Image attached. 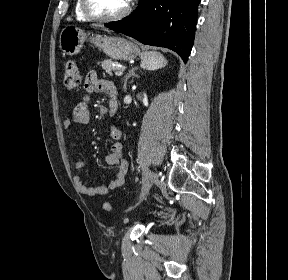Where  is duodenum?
I'll list each match as a JSON object with an SVG mask.
<instances>
[{"instance_id":"410a0bca","label":"duodenum","mask_w":288,"mask_h":280,"mask_svg":"<svg viewBox=\"0 0 288 280\" xmlns=\"http://www.w3.org/2000/svg\"><path fill=\"white\" fill-rule=\"evenodd\" d=\"M118 110V102H117V99L116 97H113L110 99V102H109V114H115Z\"/></svg>"}]
</instances>
